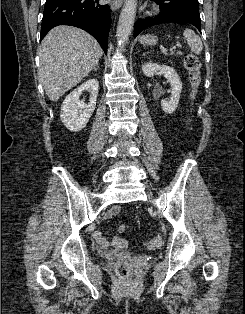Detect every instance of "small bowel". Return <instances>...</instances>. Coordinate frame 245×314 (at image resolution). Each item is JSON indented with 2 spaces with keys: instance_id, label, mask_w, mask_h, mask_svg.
I'll return each mask as SVG.
<instances>
[{
  "instance_id": "obj_1",
  "label": "small bowel",
  "mask_w": 245,
  "mask_h": 314,
  "mask_svg": "<svg viewBox=\"0 0 245 314\" xmlns=\"http://www.w3.org/2000/svg\"><path fill=\"white\" fill-rule=\"evenodd\" d=\"M119 212L118 206H113L105 215V219H111L113 218L117 213ZM118 231L123 232V225L118 226ZM94 238L96 239L97 243L103 247L108 245H114L117 247H123L126 245V239L119 237V236H113L111 238H105L100 231L94 232Z\"/></svg>"
}]
</instances>
